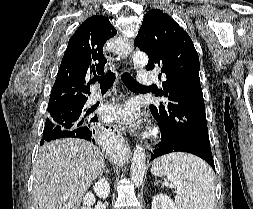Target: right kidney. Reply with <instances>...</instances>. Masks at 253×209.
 I'll list each match as a JSON object with an SVG mask.
<instances>
[{
  "instance_id": "right-kidney-1",
  "label": "right kidney",
  "mask_w": 253,
  "mask_h": 209,
  "mask_svg": "<svg viewBox=\"0 0 253 209\" xmlns=\"http://www.w3.org/2000/svg\"><path fill=\"white\" fill-rule=\"evenodd\" d=\"M93 189L96 193V195L100 198H107L110 193V184L106 178H100L95 185L93 186ZM95 203V197L94 195L89 192L87 193L83 198V208L82 209H91L90 206H92Z\"/></svg>"
}]
</instances>
